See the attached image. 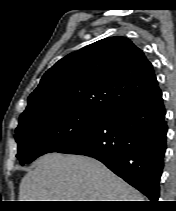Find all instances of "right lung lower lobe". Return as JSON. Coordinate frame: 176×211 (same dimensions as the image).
I'll use <instances>...</instances> for the list:
<instances>
[{
    "label": "right lung lower lobe",
    "mask_w": 176,
    "mask_h": 211,
    "mask_svg": "<svg viewBox=\"0 0 176 211\" xmlns=\"http://www.w3.org/2000/svg\"><path fill=\"white\" fill-rule=\"evenodd\" d=\"M162 93L107 115L97 127L56 152L98 159L145 194L159 197L167 123Z\"/></svg>",
    "instance_id": "98d812e1"
}]
</instances>
